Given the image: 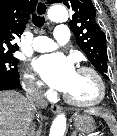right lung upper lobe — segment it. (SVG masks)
I'll return each instance as SVG.
<instances>
[{
  "label": "right lung upper lobe",
  "mask_w": 117,
  "mask_h": 136,
  "mask_svg": "<svg viewBox=\"0 0 117 136\" xmlns=\"http://www.w3.org/2000/svg\"><path fill=\"white\" fill-rule=\"evenodd\" d=\"M36 4L37 0H0V55L19 49L13 40L23 33Z\"/></svg>",
  "instance_id": "obj_1"
}]
</instances>
